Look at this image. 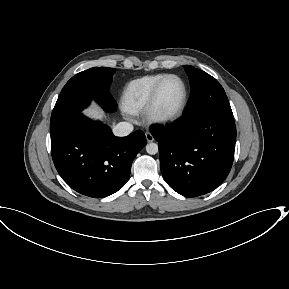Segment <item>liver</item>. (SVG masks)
Returning a JSON list of instances; mask_svg holds the SVG:
<instances>
[{"label":"liver","instance_id":"liver-1","mask_svg":"<svg viewBox=\"0 0 289 289\" xmlns=\"http://www.w3.org/2000/svg\"><path fill=\"white\" fill-rule=\"evenodd\" d=\"M87 116L94 118V119H100L102 120L104 117V113L95 105H92L90 108L85 110L84 112Z\"/></svg>","mask_w":289,"mask_h":289}]
</instances>
